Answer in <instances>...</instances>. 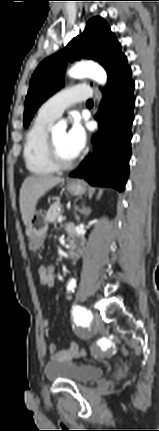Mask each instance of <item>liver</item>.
<instances>
[{
	"mask_svg": "<svg viewBox=\"0 0 159 431\" xmlns=\"http://www.w3.org/2000/svg\"><path fill=\"white\" fill-rule=\"evenodd\" d=\"M64 178L51 175H33L27 177L20 189V211L25 226H28L38 200Z\"/></svg>",
	"mask_w": 159,
	"mask_h": 431,
	"instance_id": "6515ba94",
	"label": "liver"
}]
</instances>
